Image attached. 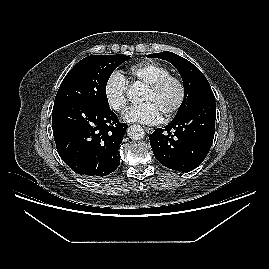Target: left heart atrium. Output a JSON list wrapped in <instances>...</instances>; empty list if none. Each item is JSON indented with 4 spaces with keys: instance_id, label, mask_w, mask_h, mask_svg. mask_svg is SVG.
<instances>
[{
    "instance_id": "39dd6f15",
    "label": "left heart atrium",
    "mask_w": 269,
    "mask_h": 269,
    "mask_svg": "<svg viewBox=\"0 0 269 269\" xmlns=\"http://www.w3.org/2000/svg\"><path fill=\"white\" fill-rule=\"evenodd\" d=\"M162 118V115L152 102L131 106L124 114L127 122H138L142 124H155Z\"/></svg>"
}]
</instances>
